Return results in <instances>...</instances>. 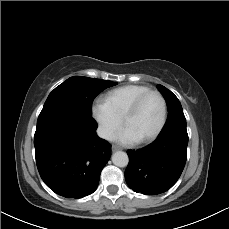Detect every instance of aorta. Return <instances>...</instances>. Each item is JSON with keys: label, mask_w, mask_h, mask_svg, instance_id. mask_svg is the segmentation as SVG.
I'll return each instance as SVG.
<instances>
[{"label": "aorta", "mask_w": 229, "mask_h": 229, "mask_svg": "<svg viewBox=\"0 0 229 229\" xmlns=\"http://www.w3.org/2000/svg\"><path fill=\"white\" fill-rule=\"evenodd\" d=\"M112 162L118 167H126L129 162L128 155L123 151H117L112 155Z\"/></svg>", "instance_id": "obj_1"}]
</instances>
